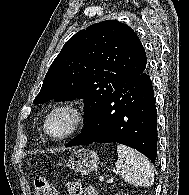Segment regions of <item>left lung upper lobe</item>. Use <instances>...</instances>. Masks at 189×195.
<instances>
[{
    "instance_id": "1",
    "label": "left lung upper lobe",
    "mask_w": 189,
    "mask_h": 195,
    "mask_svg": "<svg viewBox=\"0 0 189 195\" xmlns=\"http://www.w3.org/2000/svg\"><path fill=\"white\" fill-rule=\"evenodd\" d=\"M146 63L142 43L129 26L96 23L65 43L33 103L83 98L87 121L113 91L146 71Z\"/></svg>"
}]
</instances>
